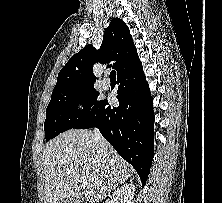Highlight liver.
I'll return each instance as SVG.
<instances>
[{
    "instance_id": "obj_1",
    "label": "liver",
    "mask_w": 222,
    "mask_h": 203,
    "mask_svg": "<svg viewBox=\"0 0 222 203\" xmlns=\"http://www.w3.org/2000/svg\"><path fill=\"white\" fill-rule=\"evenodd\" d=\"M45 203L80 197L86 179L85 198L99 202L131 176L129 164L107 143L104 153L89 130L71 129L51 140L42 157ZM83 201V198H81Z\"/></svg>"
}]
</instances>
